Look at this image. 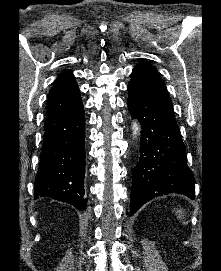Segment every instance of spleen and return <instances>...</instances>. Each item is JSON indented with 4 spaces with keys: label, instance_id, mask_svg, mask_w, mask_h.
<instances>
[{
    "label": "spleen",
    "instance_id": "3e777b00",
    "mask_svg": "<svg viewBox=\"0 0 221 271\" xmlns=\"http://www.w3.org/2000/svg\"><path fill=\"white\" fill-rule=\"evenodd\" d=\"M176 215H177V217H180V219H182V221H183V219H185L184 211H183L182 207H179V209H178V207H176Z\"/></svg>",
    "mask_w": 221,
    "mask_h": 271
}]
</instances>
